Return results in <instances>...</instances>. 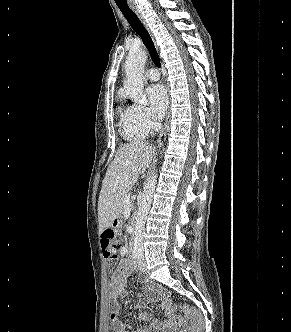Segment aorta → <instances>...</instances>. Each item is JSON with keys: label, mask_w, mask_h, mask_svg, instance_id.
Listing matches in <instances>:
<instances>
[{"label": "aorta", "mask_w": 291, "mask_h": 332, "mask_svg": "<svg viewBox=\"0 0 291 332\" xmlns=\"http://www.w3.org/2000/svg\"><path fill=\"white\" fill-rule=\"evenodd\" d=\"M147 60V53L143 49L132 50L129 52L126 63V83L125 91L130 96V98L141 105L147 104V98L143 94L144 87V66ZM157 184V174L153 173L149 177L144 185V191L142 194V199L139 204L135 231H134V244L133 253L136 255H142L143 253V237L145 230L146 218L151 206L153 194Z\"/></svg>", "instance_id": "obj_1"}]
</instances>
